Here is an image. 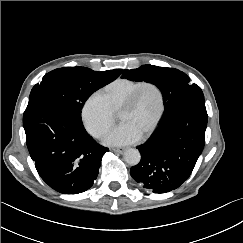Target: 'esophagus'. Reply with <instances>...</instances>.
I'll list each match as a JSON object with an SVG mask.
<instances>
[{"instance_id": "obj_1", "label": "esophagus", "mask_w": 243, "mask_h": 243, "mask_svg": "<svg viewBox=\"0 0 243 243\" xmlns=\"http://www.w3.org/2000/svg\"><path fill=\"white\" fill-rule=\"evenodd\" d=\"M111 150L116 153H123L125 151V148H112Z\"/></svg>"}]
</instances>
